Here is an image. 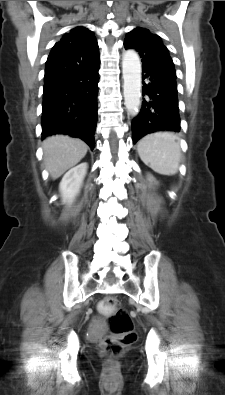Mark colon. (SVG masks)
I'll return each mask as SVG.
<instances>
[{
    "label": "colon",
    "instance_id": "obj_1",
    "mask_svg": "<svg viewBox=\"0 0 225 395\" xmlns=\"http://www.w3.org/2000/svg\"><path fill=\"white\" fill-rule=\"evenodd\" d=\"M117 304L118 310L110 313L109 305ZM104 311L109 313L108 323L110 333L100 341L103 353L109 358H118L125 347L134 344L137 334L134 331L132 318L127 311L122 309L118 301L113 297H108L103 303Z\"/></svg>",
    "mask_w": 225,
    "mask_h": 395
}]
</instances>
